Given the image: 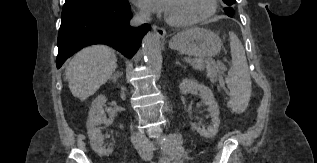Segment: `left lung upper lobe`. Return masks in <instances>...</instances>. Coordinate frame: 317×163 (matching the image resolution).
<instances>
[{"label":"left lung upper lobe","mask_w":317,"mask_h":163,"mask_svg":"<svg viewBox=\"0 0 317 163\" xmlns=\"http://www.w3.org/2000/svg\"><path fill=\"white\" fill-rule=\"evenodd\" d=\"M223 2L227 4L228 6H231L235 2V0H223ZM224 11L230 17L233 15V9L231 7L224 8Z\"/></svg>","instance_id":"obj_1"}]
</instances>
